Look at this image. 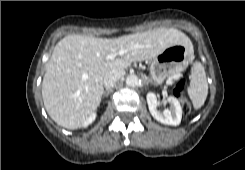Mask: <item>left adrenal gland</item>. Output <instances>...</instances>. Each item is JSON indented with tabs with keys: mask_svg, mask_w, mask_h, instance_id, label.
I'll use <instances>...</instances> for the list:
<instances>
[{
	"mask_svg": "<svg viewBox=\"0 0 245 170\" xmlns=\"http://www.w3.org/2000/svg\"><path fill=\"white\" fill-rule=\"evenodd\" d=\"M144 83L146 86H148L151 83V81L147 77H144Z\"/></svg>",
	"mask_w": 245,
	"mask_h": 170,
	"instance_id": "obj_1",
	"label": "left adrenal gland"
}]
</instances>
